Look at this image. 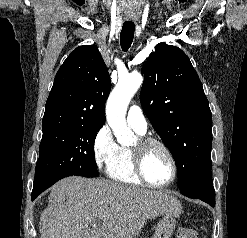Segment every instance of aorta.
Masks as SVG:
<instances>
[{
    "label": "aorta",
    "instance_id": "aorta-1",
    "mask_svg": "<svg viewBox=\"0 0 247 238\" xmlns=\"http://www.w3.org/2000/svg\"><path fill=\"white\" fill-rule=\"evenodd\" d=\"M142 82V76L137 73L120 78L107 100V121L121 145L133 142L134 134L126 124V111Z\"/></svg>",
    "mask_w": 247,
    "mask_h": 238
}]
</instances>
